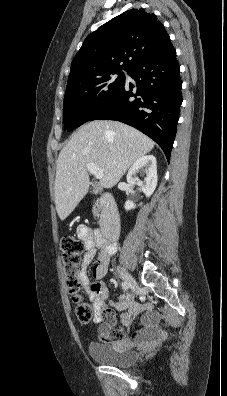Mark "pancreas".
<instances>
[{
	"instance_id": "pancreas-1",
	"label": "pancreas",
	"mask_w": 227,
	"mask_h": 396,
	"mask_svg": "<svg viewBox=\"0 0 227 396\" xmlns=\"http://www.w3.org/2000/svg\"><path fill=\"white\" fill-rule=\"evenodd\" d=\"M93 213H94V216H98V211H97V209H93Z\"/></svg>"
}]
</instances>
